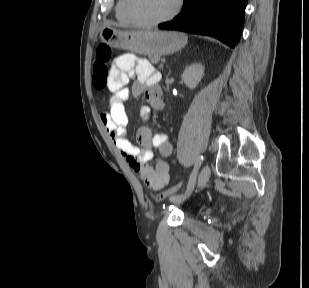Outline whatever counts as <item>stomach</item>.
<instances>
[{
	"instance_id": "obj_1",
	"label": "stomach",
	"mask_w": 309,
	"mask_h": 288,
	"mask_svg": "<svg viewBox=\"0 0 309 288\" xmlns=\"http://www.w3.org/2000/svg\"><path fill=\"white\" fill-rule=\"evenodd\" d=\"M102 42L148 57H160L183 48L185 34L176 31L120 30L106 26L100 31Z\"/></svg>"
}]
</instances>
